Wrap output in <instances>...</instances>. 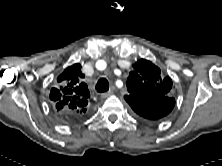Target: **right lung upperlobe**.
<instances>
[{"instance_id": "1", "label": "right lung upper lobe", "mask_w": 222, "mask_h": 166, "mask_svg": "<svg viewBox=\"0 0 222 166\" xmlns=\"http://www.w3.org/2000/svg\"><path fill=\"white\" fill-rule=\"evenodd\" d=\"M82 78L84 74L79 63L67 67L58 76L59 87L51 90L50 98L60 115L73 118L86 112L89 90Z\"/></svg>"}]
</instances>
